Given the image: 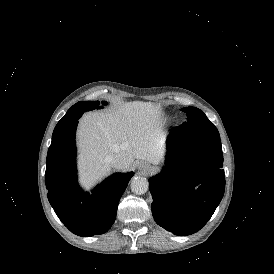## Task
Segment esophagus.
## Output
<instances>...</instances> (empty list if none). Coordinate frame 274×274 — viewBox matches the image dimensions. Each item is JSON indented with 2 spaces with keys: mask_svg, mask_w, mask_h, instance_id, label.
<instances>
[{
  "mask_svg": "<svg viewBox=\"0 0 274 274\" xmlns=\"http://www.w3.org/2000/svg\"><path fill=\"white\" fill-rule=\"evenodd\" d=\"M137 166L140 170H146L149 168L150 164L146 161H139Z\"/></svg>",
  "mask_w": 274,
  "mask_h": 274,
  "instance_id": "1",
  "label": "esophagus"
}]
</instances>
